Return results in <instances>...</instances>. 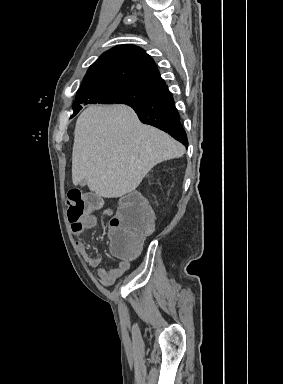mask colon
Segmentation results:
<instances>
[{
  "instance_id": "1",
  "label": "colon",
  "mask_w": 283,
  "mask_h": 384,
  "mask_svg": "<svg viewBox=\"0 0 283 384\" xmlns=\"http://www.w3.org/2000/svg\"><path fill=\"white\" fill-rule=\"evenodd\" d=\"M67 215L69 222L78 227L87 213L102 206V200L94 194L72 189L67 195ZM153 215L137 193H129L120 199L116 214L110 220L109 239L114 256L122 260H132L140 252L144 236L152 232Z\"/></svg>"
}]
</instances>
